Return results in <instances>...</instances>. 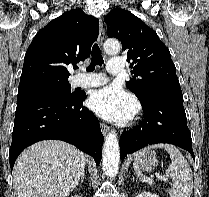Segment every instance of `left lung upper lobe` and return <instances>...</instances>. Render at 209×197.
<instances>
[{
	"label": "left lung upper lobe",
	"mask_w": 209,
	"mask_h": 197,
	"mask_svg": "<svg viewBox=\"0 0 209 197\" xmlns=\"http://www.w3.org/2000/svg\"><path fill=\"white\" fill-rule=\"evenodd\" d=\"M108 37L118 38L132 68L133 78L127 82L140 102L156 95L180 94L176 68L169 49L156 32L140 18L122 9H113L106 16Z\"/></svg>",
	"instance_id": "1"
}]
</instances>
